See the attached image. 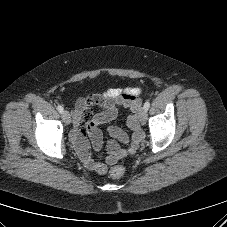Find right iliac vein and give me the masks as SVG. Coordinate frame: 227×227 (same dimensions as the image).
<instances>
[{"label":"right iliac vein","mask_w":227,"mask_h":227,"mask_svg":"<svg viewBox=\"0 0 227 227\" xmlns=\"http://www.w3.org/2000/svg\"><path fill=\"white\" fill-rule=\"evenodd\" d=\"M62 119L66 124H70L71 123V117L68 111H63L62 113Z\"/></svg>","instance_id":"1"}]
</instances>
